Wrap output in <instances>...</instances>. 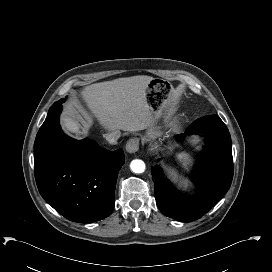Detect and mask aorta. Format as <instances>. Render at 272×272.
I'll list each match as a JSON object with an SVG mask.
<instances>
[{"label": "aorta", "mask_w": 272, "mask_h": 272, "mask_svg": "<svg viewBox=\"0 0 272 272\" xmlns=\"http://www.w3.org/2000/svg\"><path fill=\"white\" fill-rule=\"evenodd\" d=\"M130 168L134 173H142L145 171V163L142 160H133L130 164Z\"/></svg>", "instance_id": "1"}]
</instances>
